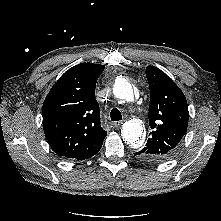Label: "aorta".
Wrapping results in <instances>:
<instances>
[{
	"label": "aorta",
	"instance_id": "1",
	"mask_svg": "<svg viewBox=\"0 0 221 221\" xmlns=\"http://www.w3.org/2000/svg\"><path fill=\"white\" fill-rule=\"evenodd\" d=\"M114 95L123 100H133V89L131 84L125 79H119L113 86ZM123 140L132 148H139L144 142V129L141 121L131 119L126 121L121 129Z\"/></svg>",
	"mask_w": 221,
	"mask_h": 221
}]
</instances>
